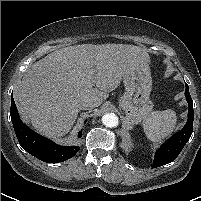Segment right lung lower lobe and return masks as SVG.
<instances>
[{"mask_svg": "<svg viewBox=\"0 0 201 201\" xmlns=\"http://www.w3.org/2000/svg\"><path fill=\"white\" fill-rule=\"evenodd\" d=\"M10 115L17 139L21 147L41 161L47 163L63 162L73 157L80 149L79 146L57 145L53 141L31 130L21 121L13 96H11ZM81 136L82 134L79 132L78 138Z\"/></svg>", "mask_w": 201, "mask_h": 201, "instance_id": "98d812e1", "label": "right lung lower lobe"}]
</instances>
